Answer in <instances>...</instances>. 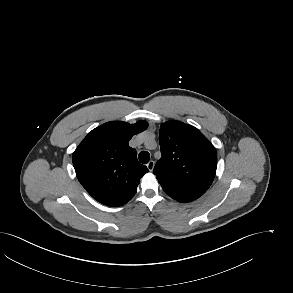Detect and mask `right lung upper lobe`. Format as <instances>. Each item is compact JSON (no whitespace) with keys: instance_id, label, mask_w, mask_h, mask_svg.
Returning <instances> with one entry per match:
<instances>
[{"instance_id":"obj_1","label":"right lung upper lobe","mask_w":293,"mask_h":293,"mask_svg":"<svg viewBox=\"0 0 293 293\" xmlns=\"http://www.w3.org/2000/svg\"><path fill=\"white\" fill-rule=\"evenodd\" d=\"M147 127L146 121L107 122L92 130L76 148L72 155L76 176L95 200L118 207L135 195L148 169L138 162L137 152L128 142Z\"/></svg>"}]
</instances>
